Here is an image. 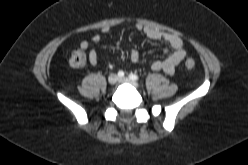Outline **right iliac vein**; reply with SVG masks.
Here are the masks:
<instances>
[{"mask_svg": "<svg viewBox=\"0 0 248 165\" xmlns=\"http://www.w3.org/2000/svg\"><path fill=\"white\" fill-rule=\"evenodd\" d=\"M117 81H118V77L116 74H110L109 75V77H108L109 84L114 85V84H116Z\"/></svg>", "mask_w": 248, "mask_h": 165, "instance_id": "1", "label": "right iliac vein"}]
</instances>
